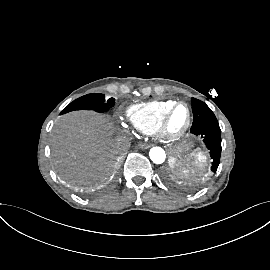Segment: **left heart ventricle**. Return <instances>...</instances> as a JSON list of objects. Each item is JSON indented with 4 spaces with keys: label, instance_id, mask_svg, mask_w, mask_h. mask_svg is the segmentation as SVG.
<instances>
[{
    "label": "left heart ventricle",
    "instance_id": "1",
    "mask_svg": "<svg viewBox=\"0 0 270 270\" xmlns=\"http://www.w3.org/2000/svg\"><path fill=\"white\" fill-rule=\"evenodd\" d=\"M187 120V109L184 106L177 107L172 113L168 128L172 132L179 131Z\"/></svg>",
    "mask_w": 270,
    "mask_h": 270
}]
</instances>
